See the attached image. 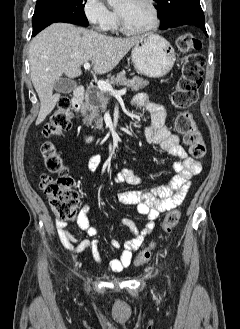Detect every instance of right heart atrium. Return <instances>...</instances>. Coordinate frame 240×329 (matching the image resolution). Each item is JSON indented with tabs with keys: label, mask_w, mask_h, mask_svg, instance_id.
Here are the masks:
<instances>
[{
	"label": "right heart atrium",
	"mask_w": 240,
	"mask_h": 329,
	"mask_svg": "<svg viewBox=\"0 0 240 329\" xmlns=\"http://www.w3.org/2000/svg\"><path fill=\"white\" fill-rule=\"evenodd\" d=\"M83 13L88 22L98 32L112 29L116 22V14L111 11L104 0H85Z\"/></svg>",
	"instance_id": "right-heart-atrium-1"
}]
</instances>
